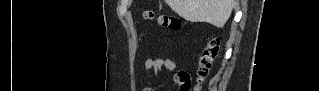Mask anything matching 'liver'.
Listing matches in <instances>:
<instances>
[{
	"mask_svg": "<svg viewBox=\"0 0 319 91\" xmlns=\"http://www.w3.org/2000/svg\"><path fill=\"white\" fill-rule=\"evenodd\" d=\"M180 17L191 22H206L218 28L229 19L235 0H166Z\"/></svg>",
	"mask_w": 319,
	"mask_h": 91,
	"instance_id": "obj_1",
	"label": "liver"
}]
</instances>
